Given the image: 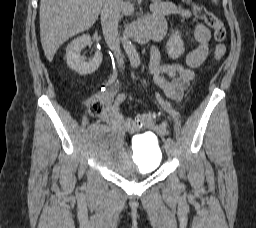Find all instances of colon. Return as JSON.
I'll list each match as a JSON object with an SVG mask.
<instances>
[{"label":"colon","instance_id":"colon-1","mask_svg":"<svg viewBox=\"0 0 256 228\" xmlns=\"http://www.w3.org/2000/svg\"><path fill=\"white\" fill-rule=\"evenodd\" d=\"M187 4H191L195 16L210 27L214 32V39L218 42L214 50V61H219L226 53V46L222 43L226 38V29L222 21L204 6L195 3L194 0H182ZM88 107L92 114H100L103 110V101L100 95L92 97L88 100ZM156 115L153 113H142L138 116L140 126L150 127L156 123Z\"/></svg>","mask_w":256,"mask_h":228}]
</instances>
